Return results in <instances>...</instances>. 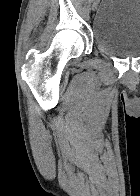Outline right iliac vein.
<instances>
[{"label":"right iliac vein","instance_id":"right-iliac-vein-1","mask_svg":"<svg viewBox=\"0 0 140 196\" xmlns=\"http://www.w3.org/2000/svg\"><path fill=\"white\" fill-rule=\"evenodd\" d=\"M97 4H98L97 1H95V2L93 3V5H92V10H93V11H95V10L97 9Z\"/></svg>","mask_w":140,"mask_h":196}]
</instances>
